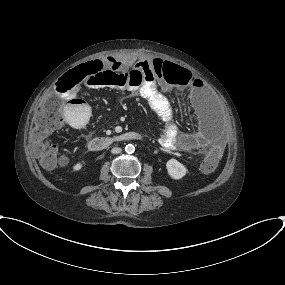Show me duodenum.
Segmentation results:
<instances>
[{"mask_svg": "<svg viewBox=\"0 0 285 285\" xmlns=\"http://www.w3.org/2000/svg\"><path fill=\"white\" fill-rule=\"evenodd\" d=\"M142 138L141 134L138 132L130 131L121 134L102 136L94 138L89 142V149L91 151H102L113 145H118L126 142L137 141Z\"/></svg>", "mask_w": 285, "mask_h": 285, "instance_id": "obj_1", "label": "duodenum"}]
</instances>
